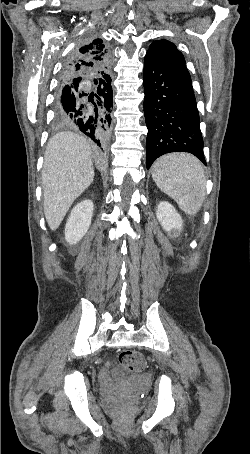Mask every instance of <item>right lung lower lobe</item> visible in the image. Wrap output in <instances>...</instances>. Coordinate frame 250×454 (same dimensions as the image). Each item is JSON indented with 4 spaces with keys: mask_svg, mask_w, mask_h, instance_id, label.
<instances>
[{
    "mask_svg": "<svg viewBox=\"0 0 250 454\" xmlns=\"http://www.w3.org/2000/svg\"><path fill=\"white\" fill-rule=\"evenodd\" d=\"M80 48L73 52L69 61L78 56ZM93 81L97 90L89 95L83 87ZM112 106L113 92L108 72L99 75L88 73L60 81L55 97V117L59 125L82 131L103 149L110 136Z\"/></svg>",
    "mask_w": 250,
    "mask_h": 454,
    "instance_id": "1",
    "label": "right lung lower lobe"
}]
</instances>
